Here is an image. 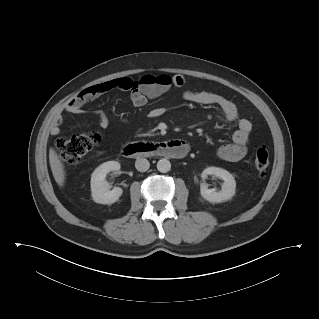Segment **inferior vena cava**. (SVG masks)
Returning <instances> with one entry per match:
<instances>
[{"mask_svg":"<svg viewBox=\"0 0 319 319\" xmlns=\"http://www.w3.org/2000/svg\"><path fill=\"white\" fill-rule=\"evenodd\" d=\"M135 167L138 171L140 172H145L149 169L150 163L147 159L145 158H139L135 162Z\"/></svg>","mask_w":319,"mask_h":319,"instance_id":"602c4592","label":"inferior vena cava"}]
</instances>
